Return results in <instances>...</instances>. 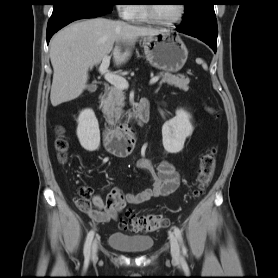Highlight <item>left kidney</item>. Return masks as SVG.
Listing matches in <instances>:
<instances>
[{"instance_id": "1", "label": "left kidney", "mask_w": 278, "mask_h": 278, "mask_svg": "<svg viewBox=\"0 0 278 278\" xmlns=\"http://www.w3.org/2000/svg\"><path fill=\"white\" fill-rule=\"evenodd\" d=\"M191 116L183 109L176 110V116L167 121L162 127V141L164 149L169 153H178L187 137L192 135L193 126Z\"/></svg>"}]
</instances>
